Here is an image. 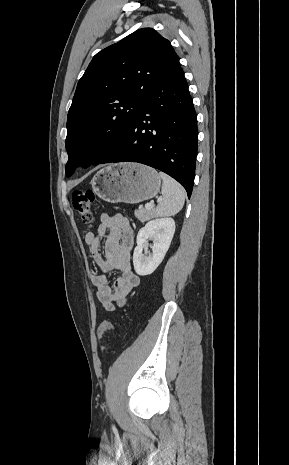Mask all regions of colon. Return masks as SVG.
<instances>
[{
  "label": "colon",
  "mask_w": 289,
  "mask_h": 465,
  "mask_svg": "<svg viewBox=\"0 0 289 465\" xmlns=\"http://www.w3.org/2000/svg\"><path fill=\"white\" fill-rule=\"evenodd\" d=\"M95 202V194L92 190H75L72 193L73 208L84 224L93 222V204ZM115 328L109 321H103L97 331L98 339L101 343V350L106 352V348L102 344V337L106 332L113 331Z\"/></svg>",
  "instance_id": "obj_1"
}]
</instances>
